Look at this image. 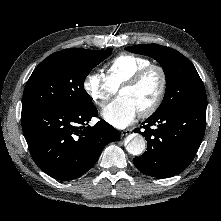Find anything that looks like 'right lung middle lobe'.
<instances>
[{"label": "right lung middle lobe", "instance_id": "dd1d6c3e", "mask_svg": "<svg viewBox=\"0 0 221 221\" xmlns=\"http://www.w3.org/2000/svg\"><path fill=\"white\" fill-rule=\"evenodd\" d=\"M111 52L67 49L51 54L27 81L22 108L79 110L94 105L84 89V80Z\"/></svg>", "mask_w": 221, "mask_h": 221}]
</instances>
